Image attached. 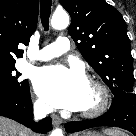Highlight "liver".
I'll list each match as a JSON object with an SVG mask.
<instances>
[{
  "mask_svg": "<svg viewBox=\"0 0 136 136\" xmlns=\"http://www.w3.org/2000/svg\"><path fill=\"white\" fill-rule=\"evenodd\" d=\"M0 136H30L22 125L0 116Z\"/></svg>",
  "mask_w": 136,
  "mask_h": 136,
  "instance_id": "1",
  "label": "liver"
}]
</instances>
